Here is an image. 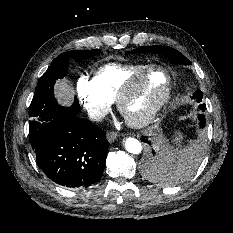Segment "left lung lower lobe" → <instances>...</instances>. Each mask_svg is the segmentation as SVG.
I'll return each mask as SVG.
<instances>
[{
	"instance_id": "left-lung-lower-lobe-1",
	"label": "left lung lower lobe",
	"mask_w": 233,
	"mask_h": 233,
	"mask_svg": "<svg viewBox=\"0 0 233 233\" xmlns=\"http://www.w3.org/2000/svg\"><path fill=\"white\" fill-rule=\"evenodd\" d=\"M199 120H200V123H199V126L201 128H203L206 124V120H205V116L203 114H200L199 115ZM141 140L145 143H148V144H151L147 139L145 138H141ZM155 163V151L153 150L151 155L149 156L148 158V167L151 168V166H153V164Z\"/></svg>"
}]
</instances>
